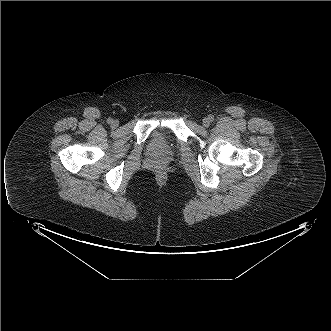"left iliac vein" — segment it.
<instances>
[{"label": "left iliac vein", "mask_w": 331, "mask_h": 331, "mask_svg": "<svg viewBox=\"0 0 331 331\" xmlns=\"http://www.w3.org/2000/svg\"><path fill=\"white\" fill-rule=\"evenodd\" d=\"M202 124H203V126L208 127V126L210 125V120H209V118H204V119L202 120Z\"/></svg>", "instance_id": "left-iliac-vein-1"}]
</instances>
